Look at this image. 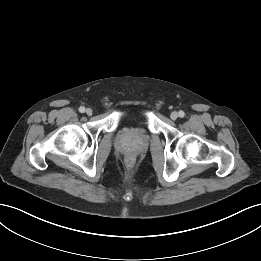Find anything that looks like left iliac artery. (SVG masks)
<instances>
[{
  "label": "left iliac artery",
  "mask_w": 261,
  "mask_h": 261,
  "mask_svg": "<svg viewBox=\"0 0 261 261\" xmlns=\"http://www.w3.org/2000/svg\"><path fill=\"white\" fill-rule=\"evenodd\" d=\"M179 117H181V118H183L184 116H185V113H184V111H179Z\"/></svg>",
  "instance_id": "obj_1"
}]
</instances>
